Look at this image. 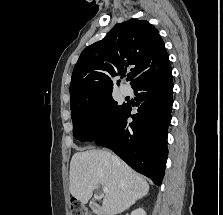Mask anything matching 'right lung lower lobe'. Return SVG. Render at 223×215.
Listing matches in <instances>:
<instances>
[{"label": "right lung lower lobe", "instance_id": "obj_1", "mask_svg": "<svg viewBox=\"0 0 223 215\" xmlns=\"http://www.w3.org/2000/svg\"><path fill=\"white\" fill-rule=\"evenodd\" d=\"M132 88L140 92L136 102L138 113L131 115L132 107L127 104L116 127L96 144L110 148L134 170L160 186L168 156L167 127L173 104L172 69ZM128 117H132L133 122L127 123Z\"/></svg>", "mask_w": 223, "mask_h": 215}]
</instances>
